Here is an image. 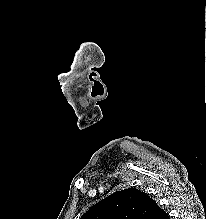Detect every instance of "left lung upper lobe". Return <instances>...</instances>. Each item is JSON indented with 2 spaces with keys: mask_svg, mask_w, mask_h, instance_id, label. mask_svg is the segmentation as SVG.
<instances>
[{
  "mask_svg": "<svg viewBox=\"0 0 206 219\" xmlns=\"http://www.w3.org/2000/svg\"><path fill=\"white\" fill-rule=\"evenodd\" d=\"M154 203L144 192L128 188L96 203L80 219H150Z\"/></svg>",
  "mask_w": 206,
  "mask_h": 219,
  "instance_id": "1",
  "label": "left lung upper lobe"
}]
</instances>
